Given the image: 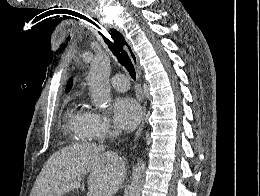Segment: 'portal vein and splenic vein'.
<instances>
[{"label": "portal vein and splenic vein", "instance_id": "18ae733b", "mask_svg": "<svg viewBox=\"0 0 260 196\" xmlns=\"http://www.w3.org/2000/svg\"><path fill=\"white\" fill-rule=\"evenodd\" d=\"M81 188L80 182H77V184H69L67 188H62V190H59L58 194H64V192H68V190H79ZM84 190V188H82Z\"/></svg>", "mask_w": 260, "mask_h": 196}]
</instances>
